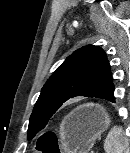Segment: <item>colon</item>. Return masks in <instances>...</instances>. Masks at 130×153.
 <instances>
[{
	"label": "colon",
	"instance_id": "1",
	"mask_svg": "<svg viewBox=\"0 0 130 153\" xmlns=\"http://www.w3.org/2000/svg\"><path fill=\"white\" fill-rule=\"evenodd\" d=\"M36 152L38 153H57L58 146L56 136L53 133L42 135L36 143Z\"/></svg>",
	"mask_w": 130,
	"mask_h": 153
}]
</instances>
